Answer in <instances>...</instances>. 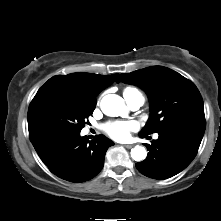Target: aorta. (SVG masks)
Returning <instances> with one entry per match:
<instances>
[{"label": "aorta", "mask_w": 221, "mask_h": 221, "mask_svg": "<svg viewBox=\"0 0 221 221\" xmlns=\"http://www.w3.org/2000/svg\"><path fill=\"white\" fill-rule=\"evenodd\" d=\"M101 110L107 116H119L125 109L123 98L116 94L104 96L100 104ZM147 156L146 149L142 146H135L131 149V157L135 161H143Z\"/></svg>", "instance_id": "1"}]
</instances>
